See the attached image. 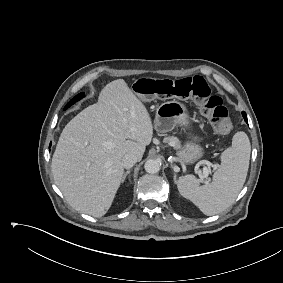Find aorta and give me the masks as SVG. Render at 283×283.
Here are the masks:
<instances>
[{
	"label": "aorta",
	"mask_w": 283,
	"mask_h": 283,
	"mask_svg": "<svg viewBox=\"0 0 283 283\" xmlns=\"http://www.w3.org/2000/svg\"><path fill=\"white\" fill-rule=\"evenodd\" d=\"M160 167V162L155 159H148L144 165L145 171L152 174L159 172Z\"/></svg>",
	"instance_id": "obj_1"
}]
</instances>
